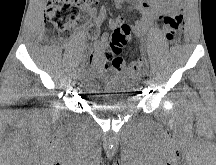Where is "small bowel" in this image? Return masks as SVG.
<instances>
[{"mask_svg":"<svg viewBox=\"0 0 216 165\" xmlns=\"http://www.w3.org/2000/svg\"><path fill=\"white\" fill-rule=\"evenodd\" d=\"M117 7L127 0H114ZM182 0H132L130 9L137 10L142 14V18L136 21L132 26V34L140 36L145 33L154 16L165 15L168 12L178 9ZM89 13L94 18V23L97 26L104 24L107 21V10L102 7L99 10L95 8H87ZM124 23V18L119 16L116 20L110 21V27L114 28ZM108 45V34L105 33L102 39L96 41L93 45L95 53L103 52Z\"/></svg>","mask_w":216,"mask_h":165,"instance_id":"small-bowel-1","label":"small bowel"}]
</instances>
